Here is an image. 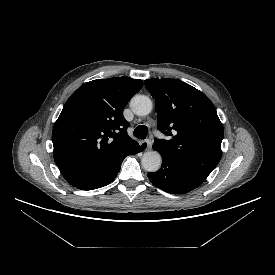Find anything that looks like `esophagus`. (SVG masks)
Listing matches in <instances>:
<instances>
[{
  "label": "esophagus",
  "instance_id": "obj_1",
  "mask_svg": "<svg viewBox=\"0 0 275 275\" xmlns=\"http://www.w3.org/2000/svg\"><path fill=\"white\" fill-rule=\"evenodd\" d=\"M145 144H146V150L149 151L152 149V141L151 139H146L145 141Z\"/></svg>",
  "mask_w": 275,
  "mask_h": 275
}]
</instances>
